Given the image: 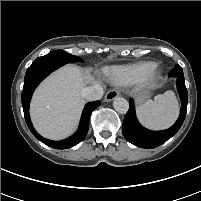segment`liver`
I'll return each instance as SVG.
<instances>
[{"label": "liver", "mask_w": 201, "mask_h": 201, "mask_svg": "<svg viewBox=\"0 0 201 201\" xmlns=\"http://www.w3.org/2000/svg\"><path fill=\"white\" fill-rule=\"evenodd\" d=\"M90 81H94L90 71L74 65H67L45 79L30 106L36 130L54 140L69 136L79 122L85 104L83 91Z\"/></svg>", "instance_id": "obj_1"}]
</instances>
